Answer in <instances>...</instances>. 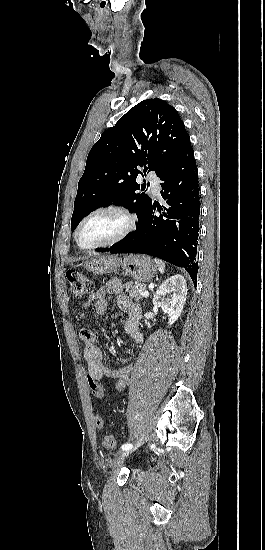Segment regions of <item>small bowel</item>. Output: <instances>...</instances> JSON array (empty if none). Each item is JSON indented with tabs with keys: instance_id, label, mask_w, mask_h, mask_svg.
<instances>
[{
	"instance_id": "1",
	"label": "small bowel",
	"mask_w": 265,
	"mask_h": 550,
	"mask_svg": "<svg viewBox=\"0 0 265 550\" xmlns=\"http://www.w3.org/2000/svg\"><path fill=\"white\" fill-rule=\"evenodd\" d=\"M112 293L118 294L116 299L117 307L126 316L124 329L127 336L133 342L140 343L142 341V335L139 331L141 307L138 304L132 302L127 295L122 293V286L119 281L112 280L105 286L99 288L91 297H89L83 303V308H89L93 305L96 314H105L109 307L108 296ZM80 339L84 344L83 356L88 367V378H92L99 383L103 397L105 395V388L103 387V385H101V380L103 379V377L115 379V390L122 391L129 381L131 366L125 365L118 369H110L105 366L102 360L101 351L99 347L95 344L96 335L94 331L90 329L81 330ZM94 396L98 398L95 394ZM95 418L94 422L96 424Z\"/></svg>"
}]
</instances>
